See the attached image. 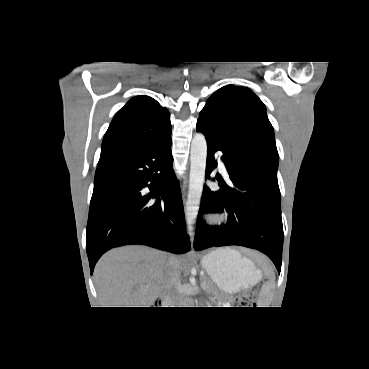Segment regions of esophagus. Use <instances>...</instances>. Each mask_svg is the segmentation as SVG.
<instances>
[{"instance_id":"obj_1","label":"esophagus","mask_w":369,"mask_h":369,"mask_svg":"<svg viewBox=\"0 0 369 369\" xmlns=\"http://www.w3.org/2000/svg\"><path fill=\"white\" fill-rule=\"evenodd\" d=\"M185 195H186V192H185V189H183V203H185Z\"/></svg>"}]
</instances>
